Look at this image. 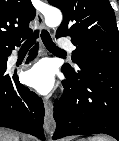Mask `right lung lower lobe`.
<instances>
[{"mask_svg": "<svg viewBox=\"0 0 119 141\" xmlns=\"http://www.w3.org/2000/svg\"><path fill=\"white\" fill-rule=\"evenodd\" d=\"M38 50L36 45L28 60H32ZM11 54L0 58L7 59ZM7 68H0V126L28 133L44 140V105L40 97L22 85L17 75H10Z\"/></svg>", "mask_w": 119, "mask_h": 141, "instance_id": "1", "label": "right lung lower lobe"}]
</instances>
